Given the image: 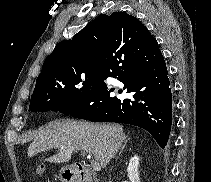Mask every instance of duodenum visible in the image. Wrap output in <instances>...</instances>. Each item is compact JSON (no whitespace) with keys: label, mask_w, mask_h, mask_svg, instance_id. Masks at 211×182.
Wrapping results in <instances>:
<instances>
[{"label":"duodenum","mask_w":211,"mask_h":182,"mask_svg":"<svg viewBox=\"0 0 211 182\" xmlns=\"http://www.w3.org/2000/svg\"><path fill=\"white\" fill-rule=\"evenodd\" d=\"M73 174L76 182H99L92 172L83 168L81 165L74 168Z\"/></svg>","instance_id":"410a0bca"}]
</instances>
